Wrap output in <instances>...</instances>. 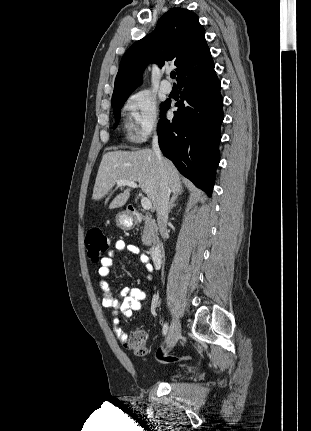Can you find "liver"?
Returning <instances> with one entry per match:
<instances>
[{"label":"liver","mask_w":311,"mask_h":431,"mask_svg":"<svg viewBox=\"0 0 311 431\" xmlns=\"http://www.w3.org/2000/svg\"><path fill=\"white\" fill-rule=\"evenodd\" d=\"M164 170L167 174V184L172 194L180 196L183 192L180 174L174 164L163 158ZM161 164L157 160L153 150H137V152H107L104 154L98 168L92 200L101 202L106 196H110L116 186V180H130L138 182L143 194L151 200L153 210L157 208V196L159 192ZM131 188L122 190V194H117L112 200L109 210L122 208L130 198Z\"/></svg>","instance_id":"obj_1"}]
</instances>
